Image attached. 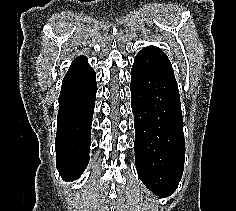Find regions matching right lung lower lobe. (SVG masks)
<instances>
[{
	"mask_svg": "<svg viewBox=\"0 0 236 211\" xmlns=\"http://www.w3.org/2000/svg\"><path fill=\"white\" fill-rule=\"evenodd\" d=\"M96 92V73L91 67L67 73L63 79L55 150L57 169L64 180L77 179L89 162Z\"/></svg>",
	"mask_w": 236,
	"mask_h": 211,
	"instance_id": "1",
	"label": "right lung lower lobe"
}]
</instances>
